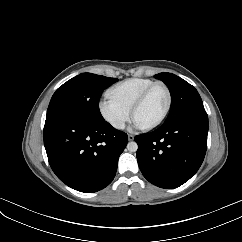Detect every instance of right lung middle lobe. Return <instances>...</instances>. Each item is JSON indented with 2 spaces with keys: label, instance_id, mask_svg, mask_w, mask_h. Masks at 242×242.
<instances>
[{
  "label": "right lung middle lobe",
  "instance_id": "dd1d6c3e",
  "mask_svg": "<svg viewBox=\"0 0 242 242\" xmlns=\"http://www.w3.org/2000/svg\"><path fill=\"white\" fill-rule=\"evenodd\" d=\"M92 73H82L60 86L51 98L46 120L59 116H80L102 121L99 98L103 90L117 82Z\"/></svg>",
  "mask_w": 242,
  "mask_h": 242
}]
</instances>
